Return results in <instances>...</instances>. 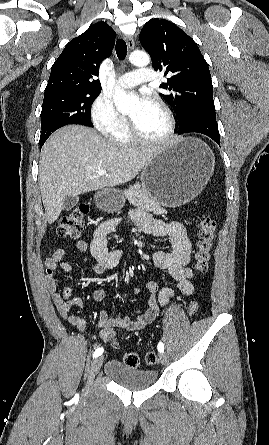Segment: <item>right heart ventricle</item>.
Returning <instances> with one entry per match:
<instances>
[{
	"label": "right heart ventricle",
	"instance_id": "right-heart-ventricle-1",
	"mask_svg": "<svg viewBox=\"0 0 269 445\" xmlns=\"http://www.w3.org/2000/svg\"><path fill=\"white\" fill-rule=\"evenodd\" d=\"M112 140L121 145H130L134 142L128 125L118 129L117 131L110 134Z\"/></svg>",
	"mask_w": 269,
	"mask_h": 445
}]
</instances>
